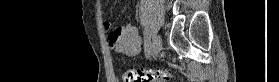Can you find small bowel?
<instances>
[{
	"instance_id": "obj_1",
	"label": "small bowel",
	"mask_w": 279,
	"mask_h": 82,
	"mask_svg": "<svg viewBox=\"0 0 279 82\" xmlns=\"http://www.w3.org/2000/svg\"><path fill=\"white\" fill-rule=\"evenodd\" d=\"M102 25L106 30L111 28L109 21H104ZM108 44L115 52L127 56L137 55L141 48V40L137 35V29L131 23L113 28L108 36Z\"/></svg>"
}]
</instances>
